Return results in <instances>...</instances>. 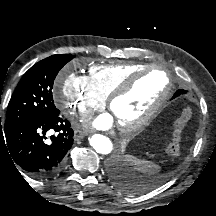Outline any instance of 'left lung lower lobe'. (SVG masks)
<instances>
[{
	"label": "left lung lower lobe",
	"mask_w": 216,
	"mask_h": 216,
	"mask_svg": "<svg viewBox=\"0 0 216 216\" xmlns=\"http://www.w3.org/2000/svg\"><path fill=\"white\" fill-rule=\"evenodd\" d=\"M184 93V90H178L174 94L173 98L180 96ZM110 174L116 185L122 190L126 192H132L137 188V186L133 183V178L125 172L122 164L119 161H113L110 166Z\"/></svg>",
	"instance_id": "1"
}]
</instances>
